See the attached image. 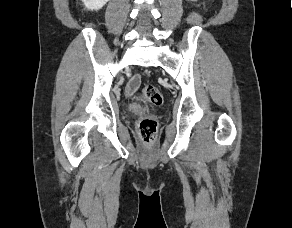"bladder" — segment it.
<instances>
[{
	"instance_id": "1",
	"label": "bladder",
	"mask_w": 292,
	"mask_h": 228,
	"mask_svg": "<svg viewBox=\"0 0 292 228\" xmlns=\"http://www.w3.org/2000/svg\"><path fill=\"white\" fill-rule=\"evenodd\" d=\"M129 111L132 112V113H139V112H142L144 111V108L138 104H131L129 106Z\"/></svg>"
}]
</instances>
